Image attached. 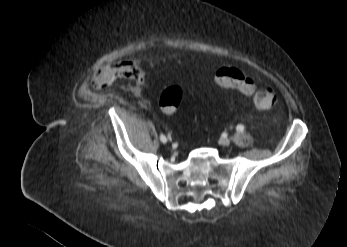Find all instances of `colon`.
<instances>
[{"instance_id": "obj_1", "label": "colon", "mask_w": 347, "mask_h": 247, "mask_svg": "<svg viewBox=\"0 0 347 247\" xmlns=\"http://www.w3.org/2000/svg\"><path fill=\"white\" fill-rule=\"evenodd\" d=\"M216 82L223 88H233L252 98L258 110H269L276 104L277 97L268 87H257L256 83L237 68H221L216 72ZM184 97L183 89L172 85L164 90L160 97L161 109L173 114L180 107Z\"/></svg>"}]
</instances>
